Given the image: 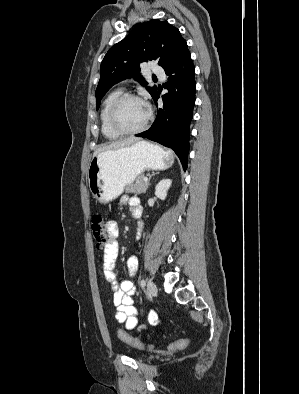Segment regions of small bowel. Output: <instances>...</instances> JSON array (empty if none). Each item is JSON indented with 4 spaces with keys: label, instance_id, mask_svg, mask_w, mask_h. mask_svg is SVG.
Wrapping results in <instances>:
<instances>
[{
    "label": "small bowel",
    "instance_id": "small-bowel-1",
    "mask_svg": "<svg viewBox=\"0 0 299 394\" xmlns=\"http://www.w3.org/2000/svg\"><path fill=\"white\" fill-rule=\"evenodd\" d=\"M120 204L129 205L133 217L139 219L142 216V207L136 197L124 195L120 198ZM108 232V242L103 254V272L106 280L110 283L113 291V305L116 308V319L119 323L125 324L127 330H132L138 325L137 315L145 314L144 309L137 308L134 303V295L136 294V287L131 280L118 281L115 272L116 260L118 256V242L119 235L118 224L114 220H110L106 224ZM142 224H140L138 238L141 236ZM138 268V259L136 256H131L127 260V269L130 276H134ZM147 324L142 325L140 329H147L148 326H156L160 323L158 313L151 309L147 313Z\"/></svg>",
    "mask_w": 299,
    "mask_h": 394
}]
</instances>
